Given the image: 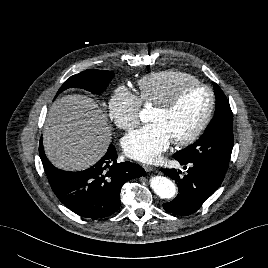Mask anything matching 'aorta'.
<instances>
[{
    "instance_id": "aorta-1",
    "label": "aorta",
    "mask_w": 268,
    "mask_h": 268,
    "mask_svg": "<svg viewBox=\"0 0 268 268\" xmlns=\"http://www.w3.org/2000/svg\"><path fill=\"white\" fill-rule=\"evenodd\" d=\"M148 116L147 111H141L139 117L141 121L146 122ZM150 186L153 191L163 199H170L175 196L177 188L175 184L166 177L154 176L150 179Z\"/></svg>"
}]
</instances>
